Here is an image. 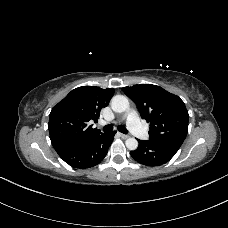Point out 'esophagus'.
<instances>
[{"label":"esophagus","instance_id":"1","mask_svg":"<svg viewBox=\"0 0 228 228\" xmlns=\"http://www.w3.org/2000/svg\"><path fill=\"white\" fill-rule=\"evenodd\" d=\"M120 136H121V138H123V139H127V138H129V136H128V135H126V134H122V133H120Z\"/></svg>","mask_w":228,"mask_h":228}]
</instances>
